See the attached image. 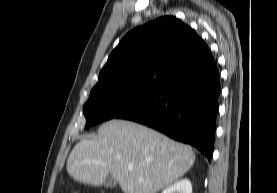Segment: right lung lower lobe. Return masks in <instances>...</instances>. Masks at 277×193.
Instances as JSON below:
<instances>
[{
	"label": "right lung lower lobe",
	"instance_id": "1",
	"mask_svg": "<svg viewBox=\"0 0 277 193\" xmlns=\"http://www.w3.org/2000/svg\"><path fill=\"white\" fill-rule=\"evenodd\" d=\"M220 77L214 58L161 85L118 118L152 127L190 144L210 161L214 148Z\"/></svg>",
	"mask_w": 277,
	"mask_h": 193
}]
</instances>
